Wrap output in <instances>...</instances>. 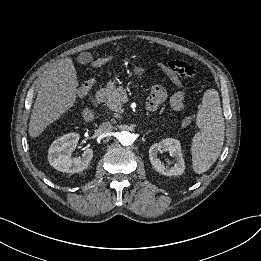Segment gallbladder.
<instances>
[{"label":"gallbladder","instance_id":"1","mask_svg":"<svg viewBox=\"0 0 261 261\" xmlns=\"http://www.w3.org/2000/svg\"><path fill=\"white\" fill-rule=\"evenodd\" d=\"M86 54H80L77 58V60L80 62V63H85L87 62L88 58L85 57Z\"/></svg>","mask_w":261,"mask_h":261}]
</instances>
